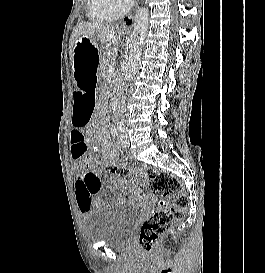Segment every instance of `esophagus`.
<instances>
[{
  "instance_id": "obj_1",
  "label": "esophagus",
  "mask_w": 265,
  "mask_h": 273,
  "mask_svg": "<svg viewBox=\"0 0 265 273\" xmlns=\"http://www.w3.org/2000/svg\"><path fill=\"white\" fill-rule=\"evenodd\" d=\"M139 4H140V0L137 1L136 5H135V8L133 9V12L130 13L128 16H126V17L123 18L122 23L124 25H126V26H132V24H133V18H134V13L137 10Z\"/></svg>"
}]
</instances>
